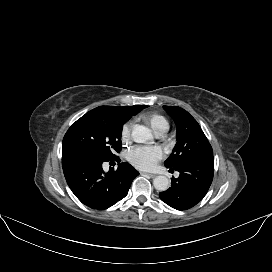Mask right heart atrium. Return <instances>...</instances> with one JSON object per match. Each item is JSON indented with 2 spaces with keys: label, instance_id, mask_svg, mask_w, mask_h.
Listing matches in <instances>:
<instances>
[{
  "label": "right heart atrium",
  "instance_id": "d8ad5b80",
  "mask_svg": "<svg viewBox=\"0 0 272 272\" xmlns=\"http://www.w3.org/2000/svg\"><path fill=\"white\" fill-rule=\"evenodd\" d=\"M131 129H132V122H130V121L126 122L122 126L120 137H121V141L123 143L128 142V140L130 139Z\"/></svg>",
  "mask_w": 272,
  "mask_h": 272
}]
</instances>
